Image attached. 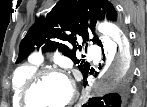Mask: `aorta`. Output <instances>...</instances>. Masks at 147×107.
Listing matches in <instances>:
<instances>
[{"mask_svg": "<svg viewBox=\"0 0 147 107\" xmlns=\"http://www.w3.org/2000/svg\"><path fill=\"white\" fill-rule=\"evenodd\" d=\"M101 29L104 35L100 39L106 53L107 67L90 89L93 96L115 90L129 75L132 59L126 38L115 26L103 24Z\"/></svg>", "mask_w": 147, "mask_h": 107, "instance_id": "aorta-1", "label": "aorta"}]
</instances>
